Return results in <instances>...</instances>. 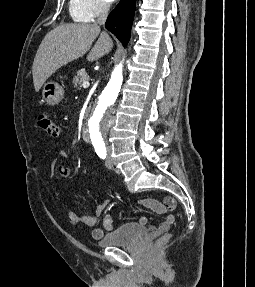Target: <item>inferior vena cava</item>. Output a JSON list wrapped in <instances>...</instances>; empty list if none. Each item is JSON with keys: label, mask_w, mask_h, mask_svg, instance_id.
Masks as SVG:
<instances>
[{"label": "inferior vena cava", "mask_w": 255, "mask_h": 287, "mask_svg": "<svg viewBox=\"0 0 255 287\" xmlns=\"http://www.w3.org/2000/svg\"><path fill=\"white\" fill-rule=\"evenodd\" d=\"M108 12H109V4H105V2H103V4H101L100 6V12L98 14L96 24H105Z\"/></svg>", "instance_id": "inferior-vena-cava-1"}]
</instances>
